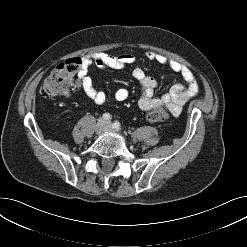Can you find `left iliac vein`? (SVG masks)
I'll use <instances>...</instances> for the list:
<instances>
[{"label": "left iliac vein", "mask_w": 247, "mask_h": 247, "mask_svg": "<svg viewBox=\"0 0 247 247\" xmlns=\"http://www.w3.org/2000/svg\"><path fill=\"white\" fill-rule=\"evenodd\" d=\"M105 130H106L107 132H112V131H113L111 122H107V123H106V129H105Z\"/></svg>", "instance_id": "left-iliac-vein-1"}]
</instances>
